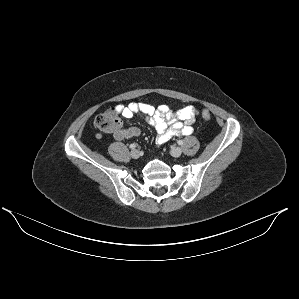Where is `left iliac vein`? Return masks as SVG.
<instances>
[{"instance_id":"obj_1","label":"left iliac vein","mask_w":299,"mask_h":299,"mask_svg":"<svg viewBox=\"0 0 299 299\" xmlns=\"http://www.w3.org/2000/svg\"><path fill=\"white\" fill-rule=\"evenodd\" d=\"M170 153L173 157H179L182 154V149L179 147H173L171 148Z\"/></svg>"}]
</instances>
